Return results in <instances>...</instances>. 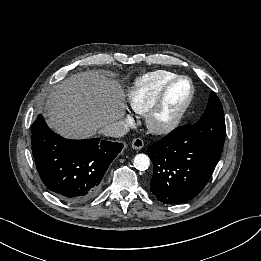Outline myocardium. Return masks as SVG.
Segmentation results:
<instances>
[{
	"instance_id": "obj_1",
	"label": "myocardium",
	"mask_w": 261,
	"mask_h": 261,
	"mask_svg": "<svg viewBox=\"0 0 261 261\" xmlns=\"http://www.w3.org/2000/svg\"><path fill=\"white\" fill-rule=\"evenodd\" d=\"M181 80H187L189 82L190 85L189 96L186 99L183 106L181 107V109L176 113V115L168 123L161 124L159 123L158 118L164 108L167 96L169 95L171 89L175 86V84ZM194 93H195V89H194L193 81L187 75H178L175 78H173L171 81H169L163 87V89L157 96L154 104L146 113L145 123L148 130L156 135H166L176 130L179 127V125L182 123L189 107L191 106V103L194 98Z\"/></svg>"
}]
</instances>
